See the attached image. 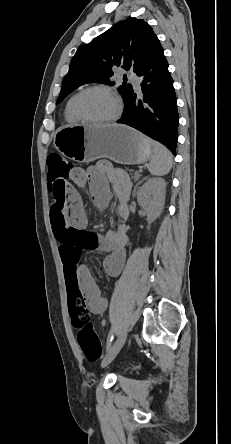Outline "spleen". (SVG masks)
Masks as SVG:
<instances>
[{"mask_svg":"<svg viewBox=\"0 0 231 444\" xmlns=\"http://www.w3.org/2000/svg\"><path fill=\"white\" fill-rule=\"evenodd\" d=\"M153 146V156L148 164V170L152 175L164 176L172 168L173 158L171 152L162 144L151 141Z\"/></svg>","mask_w":231,"mask_h":444,"instance_id":"obj_1","label":"spleen"}]
</instances>
